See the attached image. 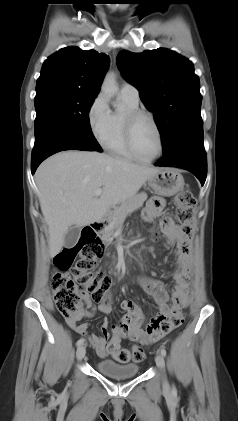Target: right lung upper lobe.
<instances>
[{
    "label": "right lung upper lobe",
    "mask_w": 238,
    "mask_h": 421,
    "mask_svg": "<svg viewBox=\"0 0 238 421\" xmlns=\"http://www.w3.org/2000/svg\"><path fill=\"white\" fill-rule=\"evenodd\" d=\"M109 66V57L95 50L70 46L44 62L36 89L59 87L98 94Z\"/></svg>",
    "instance_id": "obj_1"
}]
</instances>
